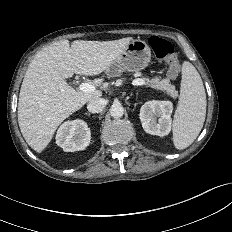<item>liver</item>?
I'll use <instances>...</instances> for the list:
<instances>
[{
    "label": "liver",
    "instance_id": "6515ba94",
    "mask_svg": "<svg viewBox=\"0 0 232 232\" xmlns=\"http://www.w3.org/2000/svg\"><path fill=\"white\" fill-rule=\"evenodd\" d=\"M132 37L114 41L68 40L39 51L31 61L19 94L18 123L28 145L42 152L57 127L87 102L102 96L100 90L82 92L67 82L76 74L98 75L124 51ZM95 80L94 84H101Z\"/></svg>",
    "mask_w": 232,
    "mask_h": 232
}]
</instances>
